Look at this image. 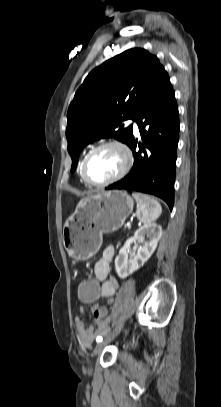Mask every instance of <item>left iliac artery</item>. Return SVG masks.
<instances>
[{"instance_id": "left-iliac-artery-1", "label": "left iliac artery", "mask_w": 221, "mask_h": 407, "mask_svg": "<svg viewBox=\"0 0 221 407\" xmlns=\"http://www.w3.org/2000/svg\"><path fill=\"white\" fill-rule=\"evenodd\" d=\"M108 332H109V330L106 333H108ZM96 341L97 342H102V337H97Z\"/></svg>"}]
</instances>
